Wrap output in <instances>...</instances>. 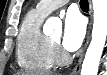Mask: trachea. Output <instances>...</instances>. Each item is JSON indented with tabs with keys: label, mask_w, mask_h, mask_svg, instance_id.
<instances>
[{
	"label": "trachea",
	"mask_w": 107,
	"mask_h": 75,
	"mask_svg": "<svg viewBox=\"0 0 107 75\" xmlns=\"http://www.w3.org/2000/svg\"><path fill=\"white\" fill-rule=\"evenodd\" d=\"M80 7L81 8H88V1L87 0H81L80 1Z\"/></svg>",
	"instance_id": "trachea-1"
}]
</instances>
